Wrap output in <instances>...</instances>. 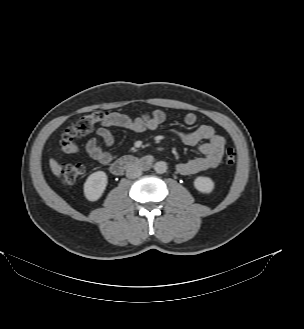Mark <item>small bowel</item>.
I'll list each match as a JSON object with an SVG mask.
<instances>
[{"mask_svg": "<svg viewBox=\"0 0 304 329\" xmlns=\"http://www.w3.org/2000/svg\"><path fill=\"white\" fill-rule=\"evenodd\" d=\"M167 114L160 109L154 110L138 118H130L118 112L107 113L101 126L97 129L98 138L89 139L86 143V151L90 157L103 166L109 165L114 155L105 147L112 145L114 137L111 128H122L136 133L157 130L166 120ZM197 115L188 113L184 117L187 125L197 123ZM173 135L183 144L198 146L201 157L179 162L176 165L177 171L182 175H194L216 168L224 154L226 140L217 134L210 125H201L193 131L173 130Z\"/></svg>", "mask_w": 304, "mask_h": 329, "instance_id": "small-bowel-1", "label": "small bowel"}]
</instances>
